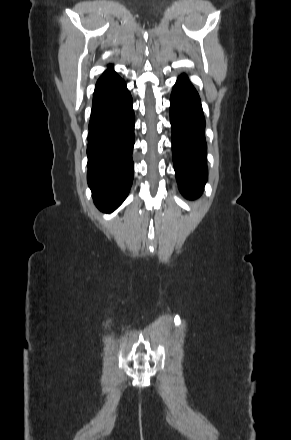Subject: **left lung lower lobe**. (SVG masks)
I'll return each instance as SVG.
<instances>
[{
	"label": "left lung lower lobe",
	"instance_id": "left-lung-lower-lobe-1",
	"mask_svg": "<svg viewBox=\"0 0 291 440\" xmlns=\"http://www.w3.org/2000/svg\"><path fill=\"white\" fill-rule=\"evenodd\" d=\"M172 153L181 193L189 199L200 196L207 180L205 119L197 91L181 75L170 98Z\"/></svg>",
	"mask_w": 291,
	"mask_h": 440
}]
</instances>
